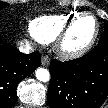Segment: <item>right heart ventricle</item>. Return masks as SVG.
<instances>
[{
	"mask_svg": "<svg viewBox=\"0 0 108 108\" xmlns=\"http://www.w3.org/2000/svg\"><path fill=\"white\" fill-rule=\"evenodd\" d=\"M76 16L73 13L43 15L30 23L29 30L32 36L38 41L51 43L57 38L67 23Z\"/></svg>",
	"mask_w": 108,
	"mask_h": 108,
	"instance_id": "right-heart-ventricle-1",
	"label": "right heart ventricle"
}]
</instances>
